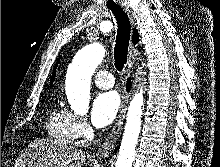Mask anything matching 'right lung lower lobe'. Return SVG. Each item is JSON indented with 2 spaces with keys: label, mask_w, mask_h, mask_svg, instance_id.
<instances>
[{
  "label": "right lung lower lobe",
  "mask_w": 220,
  "mask_h": 167,
  "mask_svg": "<svg viewBox=\"0 0 220 167\" xmlns=\"http://www.w3.org/2000/svg\"><path fill=\"white\" fill-rule=\"evenodd\" d=\"M130 86H131V83H130V80H128V82H127V88L129 89Z\"/></svg>",
  "instance_id": "obj_1"
}]
</instances>
